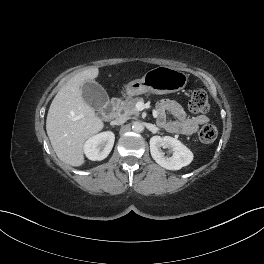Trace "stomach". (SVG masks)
Here are the masks:
<instances>
[{
  "mask_svg": "<svg viewBox=\"0 0 264 264\" xmlns=\"http://www.w3.org/2000/svg\"><path fill=\"white\" fill-rule=\"evenodd\" d=\"M188 81L187 75L177 69L158 66L147 71L141 79L130 81L126 86L128 96L144 93L167 94L185 88Z\"/></svg>",
  "mask_w": 264,
  "mask_h": 264,
  "instance_id": "obj_1",
  "label": "stomach"
}]
</instances>
